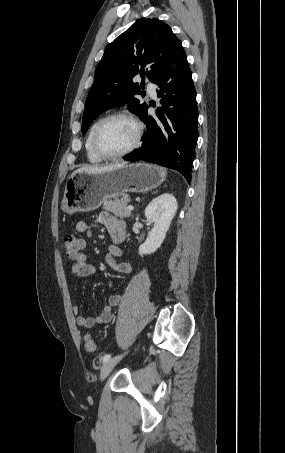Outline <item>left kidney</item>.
<instances>
[{"label": "left kidney", "instance_id": "5707ae66", "mask_svg": "<svg viewBox=\"0 0 285 453\" xmlns=\"http://www.w3.org/2000/svg\"><path fill=\"white\" fill-rule=\"evenodd\" d=\"M177 200L169 193L154 198L145 209V217L154 222L146 241L139 246V254L154 253L163 243L171 221L177 212Z\"/></svg>", "mask_w": 285, "mask_h": 453}]
</instances>
